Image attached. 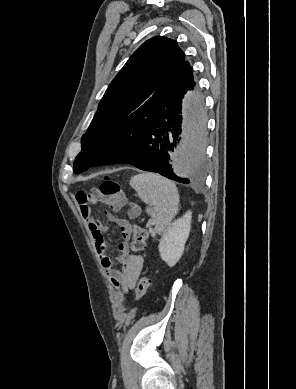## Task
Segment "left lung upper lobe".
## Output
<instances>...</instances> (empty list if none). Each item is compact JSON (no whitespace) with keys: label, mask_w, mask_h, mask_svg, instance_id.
<instances>
[{"label":"left lung upper lobe","mask_w":296,"mask_h":389,"mask_svg":"<svg viewBox=\"0 0 296 389\" xmlns=\"http://www.w3.org/2000/svg\"><path fill=\"white\" fill-rule=\"evenodd\" d=\"M192 72L177 43L161 36L143 43L113 79L82 137V150L74 161V173L98 166L96 150L107 135L131 113L148 105L155 91L177 75Z\"/></svg>","instance_id":"left-lung-upper-lobe-1"}]
</instances>
